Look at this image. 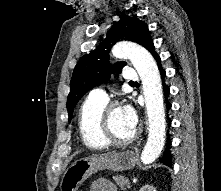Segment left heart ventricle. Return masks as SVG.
<instances>
[{"instance_id":"left-heart-ventricle-1","label":"left heart ventricle","mask_w":221,"mask_h":191,"mask_svg":"<svg viewBox=\"0 0 221 191\" xmlns=\"http://www.w3.org/2000/svg\"><path fill=\"white\" fill-rule=\"evenodd\" d=\"M111 126L114 133L120 138H128L134 132L126 125L121 113V108H118L113 112L111 116Z\"/></svg>"}]
</instances>
